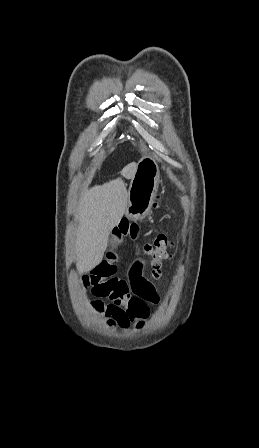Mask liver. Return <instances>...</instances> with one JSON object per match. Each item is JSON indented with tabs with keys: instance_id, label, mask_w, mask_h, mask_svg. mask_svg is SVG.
Listing matches in <instances>:
<instances>
[{
	"instance_id": "liver-1",
	"label": "liver",
	"mask_w": 259,
	"mask_h": 448,
	"mask_svg": "<svg viewBox=\"0 0 259 448\" xmlns=\"http://www.w3.org/2000/svg\"><path fill=\"white\" fill-rule=\"evenodd\" d=\"M136 172V164H131L122 174L133 178ZM127 200V190L121 178L94 186L83 194L76 216L79 222L75 242L78 274L90 272L102 262L108 238L127 210Z\"/></svg>"
}]
</instances>
